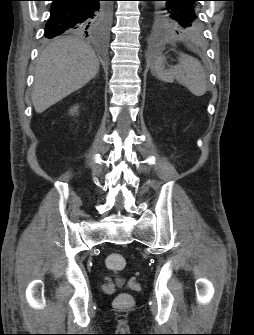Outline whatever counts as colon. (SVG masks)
<instances>
[{"mask_svg": "<svg viewBox=\"0 0 254 335\" xmlns=\"http://www.w3.org/2000/svg\"><path fill=\"white\" fill-rule=\"evenodd\" d=\"M107 268L115 275H120L126 267V259L120 253H110L105 259ZM133 297L129 293H120L116 296L114 304L119 308H128L133 305Z\"/></svg>", "mask_w": 254, "mask_h": 335, "instance_id": "obj_1", "label": "colon"}]
</instances>
